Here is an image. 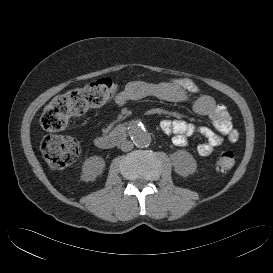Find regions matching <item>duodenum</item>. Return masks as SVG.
<instances>
[{
    "label": "duodenum",
    "mask_w": 273,
    "mask_h": 273,
    "mask_svg": "<svg viewBox=\"0 0 273 273\" xmlns=\"http://www.w3.org/2000/svg\"><path fill=\"white\" fill-rule=\"evenodd\" d=\"M127 137L126 127L122 126L106 135L95 138V145L100 149L114 148L122 143Z\"/></svg>",
    "instance_id": "duodenum-1"
}]
</instances>
